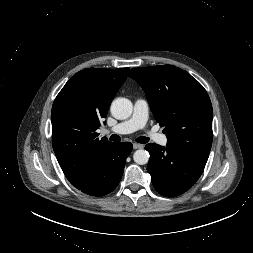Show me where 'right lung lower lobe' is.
Masks as SVG:
<instances>
[{
    "label": "right lung lower lobe",
    "instance_id": "1",
    "mask_svg": "<svg viewBox=\"0 0 253 253\" xmlns=\"http://www.w3.org/2000/svg\"><path fill=\"white\" fill-rule=\"evenodd\" d=\"M132 147L129 142L109 143L100 150L82 176L71 184L91 196L100 197L110 193L121 180Z\"/></svg>",
    "mask_w": 253,
    "mask_h": 253
}]
</instances>
